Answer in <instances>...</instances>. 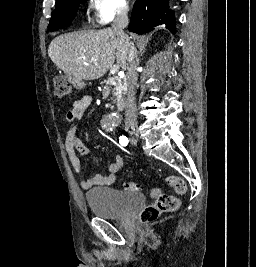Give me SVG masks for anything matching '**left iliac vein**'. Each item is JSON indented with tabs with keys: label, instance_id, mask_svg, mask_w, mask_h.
<instances>
[{
	"label": "left iliac vein",
	"instance_id": "left-iliac-vein-1",
	"mask_svg": "<svg viewBox=\"0 0 256 267\" xmlns=\"http://www.w3.org/2000/svg\"><path fill=\"white\" fill-rule=\"evenodd\" d=\"M131 143H132L133 145H135V144L137 143V141H136L135 139H132V140H131Z\"/></svg>",
	"mask_w": 256,
	"mask_h": 267
}]
</instances>
